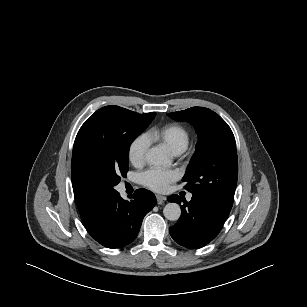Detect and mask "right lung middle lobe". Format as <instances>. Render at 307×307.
Wrapping results in <instances>:
<instances>
[{
  "label": "right lung middle lobe",
  "instance_id": "obj_1",
  "mask_svg": "<svg viewBox=\"0 0 307 307\" xmlns=\"http://www.w3.org/2000/svg\"><path fill=\"white\" fill-rule=\"evenodd\" d=\"M156 113L138 114L118 106L96 111L76 136L71 163L73 189L105 199L128 171L129 148Z\"/></svg>",
  "mask_w": 307,
  "mask_h": 307
}]
</instances>
